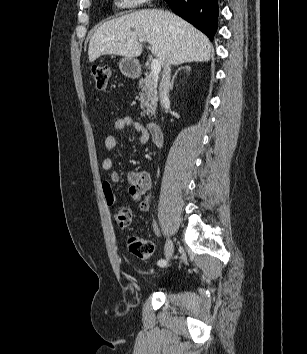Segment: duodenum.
<instances>
[{"mask_svg":"<svg viewBox=\"0 0 307 354\" xmlns=\"http://www.w3.org/2000/svg\"><path fill=\"white\" fill-rule=\"evenodd\" d=\"M146 128L148 129L153 142L156 145H161L164 141V134H163L161 128L154 122L147 123Z\"/></svg>","mask_w":307,"mask_h":354,"instance_id":"duodenum-1","label":"duodenum"}]
</instances>
